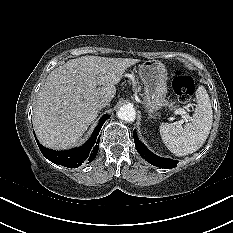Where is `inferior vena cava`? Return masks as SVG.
<instances>
[{"instance_id": "1", "label": "inferior vena cava", "mask_w": 233, "mask_h": 233, "mask_svg": "<svg viewBox=\"0 0 233 233\" xmlns=\"http://www.w3.org/2000/svg\"><path fill=\"white\" fill-rule=\"evenodd\" d=\"M110 100L108 98H102L98 101V106L100 108L105 107L109 104Z\"/></svg>"}]
</instances>
